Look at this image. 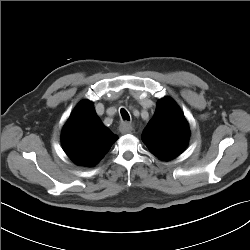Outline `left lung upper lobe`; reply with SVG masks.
<instances>
[{
	"label": "left lung upper lobe",
	"mask_w": 250,
	"mask_h": 250,
	"mask_svg": "<svg viewBox=\"0 0 250 250\" xmlns=\"http://www.w3.org/2000/svg\"><path fill=\"white\" fill-rule=\"evenodd\" d=\"M190 131L177 104L169 97L158 101L153 118L142 133V140L152 154L170 160L187 146Z\"/></svg>",
	"instance_id": "obj_1"
}]
</instances>
